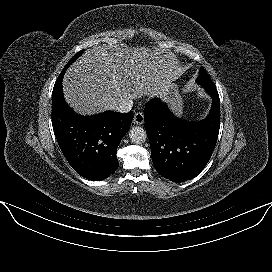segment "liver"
<instances>
[{"mask_svg":"<svg viewBox=\"0 0 272 272\" xmlns=\"http://www.w3.org/2000/svg\"><path fill=\"white\" fill-rule=\"evenodd\" d=\"M172 67L157 50L102 45L86 51L66 71V102L82 115H93L122 99L144 95L166 99Z\"/></svg>","mask_w":272,"mask_h":272,"instance_id":"1","label":"liver"}]
</instances>
